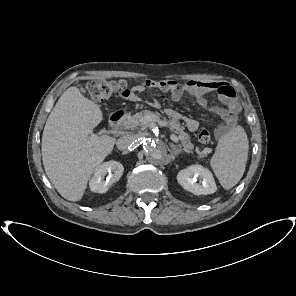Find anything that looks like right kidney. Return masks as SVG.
Wrapping results in <instances>:
<instances>
[{"label":"right kidney","mask_w":296,"mask_h":296,"mask_svg":"<svg viewBox=\"0 0 296 296\" xmlns=\"http://www.w3.org/2000/svg\"><path fill=\"white\" fill-rule=\"evenodd\" d=\"M124 167L120 162L111 160L97 166L90 179L89 187L92 192L105 193L109 187L122 176ZM108 176L105 179V176Z\"/></svg>","instance_id":"obj_1"}]
</instances>
